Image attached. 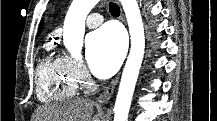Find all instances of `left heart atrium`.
Returning <instances> with one entry per match:
<instances>
[{"mask_svg": "<svg viewBox=\"0 0 217 121\" xmlns=\"http://www.w3.org/2000/svg\"><path fill=\"white\" fill-rule=\"evenodd\" d=\"M126 51L122 29L106 24L86 39V56L92 73L99 78L110 77L120 66Z\"/></svg>", "mask_w": 217, "mask_h": 121, "instance_id": "39dd6f15", "label": "left heart atrium"}]
</instances>
